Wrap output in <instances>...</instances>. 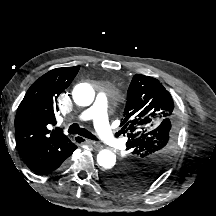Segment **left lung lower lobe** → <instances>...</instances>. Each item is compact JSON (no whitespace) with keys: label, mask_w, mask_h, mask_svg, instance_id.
<instances>
[{"label":"left lung lower lobe","mask_w":216,"mask_h":216,"mask_svg":"<svg viewBox=\"0 0 216 216\" xmlns=\"http://www.w3.org/2000/svg\"><path fill=\"white\" fill-rule=\"evenodd\" d=\"M105 176H106V174H104V180H105Z\"/></svg>","instance_id":"left-lung-lower-lobe-1"}]
</instances>
